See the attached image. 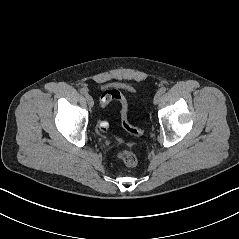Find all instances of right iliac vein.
Instances as JSON below:
<instances>
[{
  "label": "right iliac vein",
  "mask_w": 239,
  "mask_h": 239,
  "mask_svg": "<svg viewBox=\"0 0 239 239\" xmlns=\"http://www.w3.org/2000/svg\"><path fill=\"white\" fill-rule=\"evenodd\" d=\"M85 98H86V102H87V104L89 105V107H93V105H94L93 98H92L89 94H87V95L85 96Z\"/></svg>",
  "instance_id": "63e3f726"
}]
</instances>
